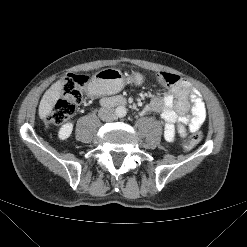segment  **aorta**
Segmentation results:
<instances>
[{
    "instance_id": "aorta-1",
    "label": "aorta",
    "mask_w": 247,
    "mask_h": 247,
    "mask_svg": "<svg viewBox=\"0 0 247 247\" xmlns=\"http://www.w3.org/2000/svg\"><path fill=\"white\" fill-rule=\"evenodd\" d=\"M115 113H116V116H117V117L122 118V117L126 116V114H127V109L125 108V106H118V107L115 109Z\"/></svg>"
}]
</instances>
